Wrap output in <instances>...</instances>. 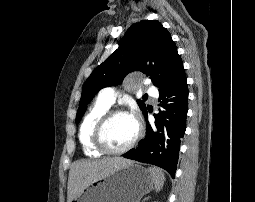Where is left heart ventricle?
I'll use <instances>...</instances> for the list:
<instances>
[{"mask_svg": "<svg viewBox=\"0 0 255 202\" xmlns=\"http://www.w3.org/2000/svg\"><path fill=\"white\" fill-rule=\"evenodd\" d=\"M136 130L137 124L131 116L118 115L108 123L104 138L109 147L119 149L133 139Z\"/></svg>", "mask_w": 255, "mask_h": 202, "instance_id": "left-heart-ventricle-1", "label": "left heart ventricle"}]
</instances>
